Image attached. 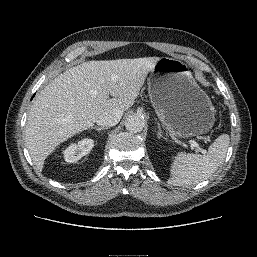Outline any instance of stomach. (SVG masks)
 Wrapping results in <instances>:
<instances>
[{"mask_svg":"<svg viewBox=\"0 0 257 257\" xmlns=\"http://www.w3.org/2000/svg\"><path fill=\"white\" fill-rule=\"evenodd\" d=\"M148 91L159 120L172 134L188 138L212 129L214 106L185 62L160 58L151 70Z\"/></svg>","mask_w":257,"mask_h":257,"instance_id":"stomach-1","label":"stomach"}]
</instances>
